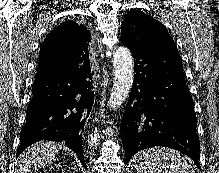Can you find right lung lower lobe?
<instances>
[{"instance_id": "right-lung-lower-lobe-1", "label": "right lung lower lobe", "mask_w": 219, "mask_h": 173, "mask_svg": "<svg viewBox=\"0 0 219 173\" xmlns=\"http://www.w3.org/2000/svg\"><path fill=\"white\" fill-rule=\"evenodd\" d=\"M92 79L89 63L76 54L39 61L16 157L37 141H63L86 167L82 137L94 102Z\"/></svg>"}]
</instances>
